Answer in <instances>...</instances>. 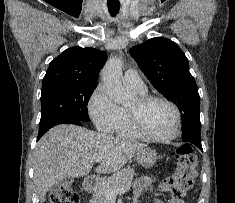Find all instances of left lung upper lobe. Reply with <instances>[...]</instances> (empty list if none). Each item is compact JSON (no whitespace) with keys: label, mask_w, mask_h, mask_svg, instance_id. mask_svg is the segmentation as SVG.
Masks as SVG:
<instances>
[{"label":"left lung upper lobe","mask_w":235,"mask_h":203,"mask_svg":"<svg viewBox=\"0 0 235 203\" xmlns=\"http://www.w3.org/2000/svg\"><path fill=\"white\" fill-rule=\"evenodd\" d=\"M131 56L167 99L177 105L182 116V136L200 135V97L188 59L178 45L166 38H152L130 49Z\"/></svg>","instance_id":"left-lung-upper-lobe-1"}]
</instances>
